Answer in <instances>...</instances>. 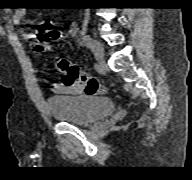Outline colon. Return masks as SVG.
I'll return each mask as SVG.
<instances>
[{"mask_svg": "<svg viewBox=\"0 0 192 180\" xmlns=\"http://www.w3.org/2000/svg\"><path fill=\"white\" fill-rule=\"evenodd\" d=\"M61 34L55 29H43L33 35L34 51L43 54L50 42L60 39ZM58 70L63 75V83L66 85H75L81 87L88 95H98L106 92L103 83L86 71L79 65L70 62L65 58H58L56 61Z\"/></svg>", "mask_w": 192, "mask_h": 180, "instance_id": "obj_1", "label": "colon"}]
</instances>
